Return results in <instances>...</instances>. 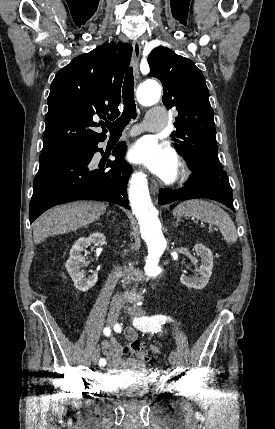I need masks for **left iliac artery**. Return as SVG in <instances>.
<instances>
[{"instance_id":"44dca946","label":"left iliac artery","mask_w":275,"mask_h":429,"mask_svg":"<svg viewBox=\"0 0 275 429\" xmlns=\"http://www.w3.org/2000/svg\"><path fill=\"white\" fill-rule=\"evenodd\" d=\"M170 317L164 315H154L150 317L136 318L134 320V325L142 331H156L161 324H164L166 321H171Z\"/></svg>"}]
</instances>
